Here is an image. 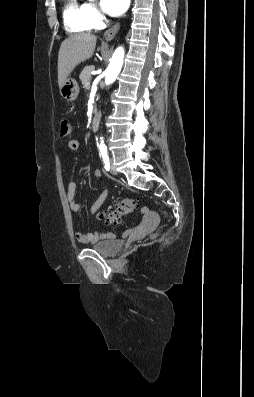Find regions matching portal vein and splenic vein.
<instances>
[{"mask_svg": "<svg viewBox=\"0 0 254 397\" xmlns=\"http://www.w3.org/2000/svg\"><path fill=\"white\" fill-rule=\"evenodd\" d=\"M86 85L89 87L90 86V82H88Z\"/></svg>", "mask_w": 254, "mask_h": 397, "instance_id": "1", "label": "portal vein and splenic vein"}]
</instances>
